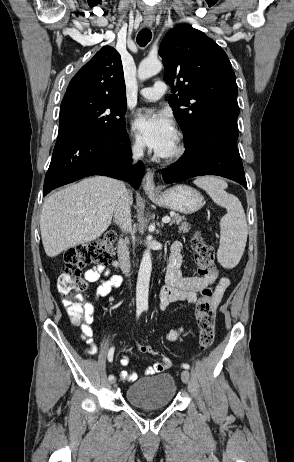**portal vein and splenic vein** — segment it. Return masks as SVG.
Instances as JSON below:
<instances>
[{
    "label": "portal vein and splenic vein",
    "instance_id": "1",
    "mask_svg": "<svg viewBox=\"0 0 294 462\" xmlns=\"http://www.w3.org/2000/svg\"><path fill=\"white\" fill-rule=\"evenodd\" d=\"M170 221H171V218H170V217H164V218L162 219V222H163V223H169Z\"/></svg>",
    "mask_w": 294,
    "mask_h": 462
}]
</instances>
